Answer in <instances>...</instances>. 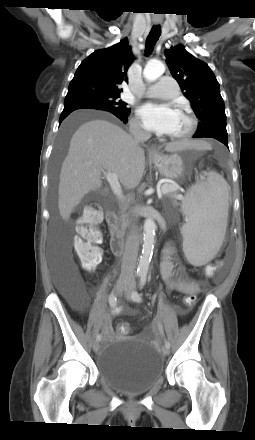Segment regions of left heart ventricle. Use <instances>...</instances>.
Instances as JSON below:
<instances>
[{
	"mask_svg": "<svg viewBox=\"0 0 255 440\" xmlns=\"http://www.w3.org/2000/svg\"><path fill=\"white\" fill-rule=\"evenodd\" d=\"M188 126V120L185 117L183 113L178 111L177 120L175 124L174 131L171 133V135H177L181 132H183Z\"/></svg>",
	"mask_w": 255,
	"mask_h": 440,
	"instance_id": "left-heart-ventricle-1",
	"label": "left heart ventricle"
}]
</instances>
